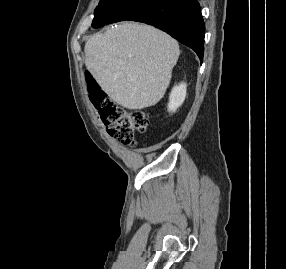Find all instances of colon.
<instances>
[{
    "label": "colon",
    "instance_id": "colon-1",
    "mask_svg": "<svg viewBox=\"0 0 286 269\" xmlns=\"http://www.w3.org/2000/svg\"><path fill=\"white\" fill-rule=\"evenodd\" d=\"M90 101L98 111L102 123L111 137L121 143L134 145L135 131H145L149 121L141 111H127L114 104L96 83L88 86Z\"/></svg>",
    "mask_w": 286,
    "mask_h": 269
}]
</instances>
